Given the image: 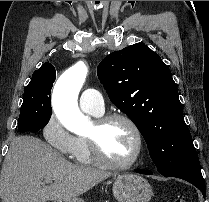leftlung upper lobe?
Returning a JSON list of instances; mask_svg holds the SVG:
<instances>
[{
	"label": "left lung upper lobe",
	"instance_id": "obj_1",
	"mask_svg": "<svg viewBox=\"0 0 209 202\" xmlns=\"http://www.w3.org/2000/svg\"><path fill=\"white\" fill-rule=\"evenodd\" d=\"M97 72L110 100L143 135L162 175L197 157L177 86L157 53L136 43L106 56Z\"/></svg>",
	"mask_w": 209,
	"mask_h": 202
}]
</instances>
